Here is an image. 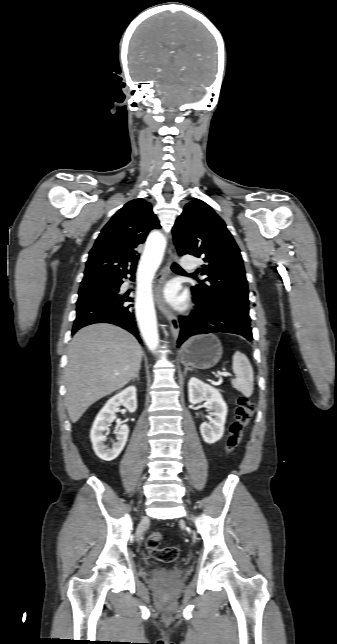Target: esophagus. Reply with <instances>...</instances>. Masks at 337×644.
I'll return each mask as SVG.
<instances>
[{
    "instance_id": "34e87169",
    "label": "esophagus",
    "mask_w": 337,
    "mask_h": 644,
    "mask_svg": "<svg viewBox=\"0 0 337 644\" xmlns=\"http://www.w3.org/2000/svg\"><path fill=\"white\" fill-rule=\"evenodd\" d=\"M177 259L176 254H171L168 258L167 265L163 268L161 273L159 274L156 283H155V301L156 304L159 308V310L162 312V314L167 318L170 324L171 328V333L174 339H177L179 335V322L176 318V316L173 314L171 309L166 305L163 295H162V289L164 286V283L166 282L167 278L169 277L170 274V266L171 264Z\"/></svg>"
}]
</instances>
